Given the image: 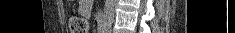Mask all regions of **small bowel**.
<instances>
[{"label":"small bowel","instance_id":"1","mask_svg":"<svg viewBox=\"0 0 235 33\" xmlns=\"http://www.w3.org/2000/svg\"><path fill=\"white\" fill-rule=\"evenodd\" d=\"M81 10L84 12L86 10H88V5L86 3H84L82 6H81Z\"/></svg>","mask_w":235,"mask_h":33}]
</instances>
